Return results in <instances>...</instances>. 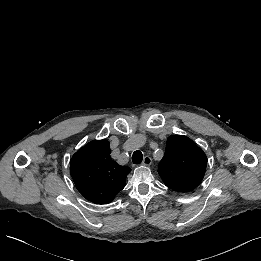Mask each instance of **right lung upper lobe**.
Listing matches in <instances>:
<instances>
[{"instance_id":"cb5924a9","label":"right lung upper lobe","mask_w":261,"mask_h":261,"mask_svg":"<svg viewBox=\"0 0 261 261\" xmlns=\"http://www.w3.org/2000/svg\"><path fill=\"white\" fill-rule=\"evenodd\" d=\"M78 191L96 204L110 203L125 187L131 169L120 166L110 157V142L94 140L76 152L70 165Z\"/></svg>"}]
</instances>
